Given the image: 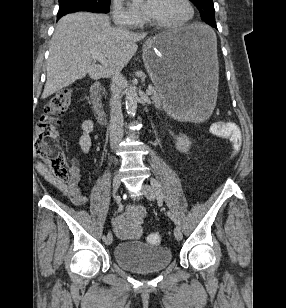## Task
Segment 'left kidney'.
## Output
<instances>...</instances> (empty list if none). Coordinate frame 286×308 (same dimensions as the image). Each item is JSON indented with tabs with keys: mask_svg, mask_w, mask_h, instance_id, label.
<instances>
[{
	"mask_svg": "<svg viewBox=\"0 0 286 308\" xmlns=\"http://www.w3.org/2000/svg\"><path fill=\"white\" fill-rule=\"evenodd\" d=\"M176 139V149L180 152L187 153L191 146L190 139L184 134H180Z\"/></svg>",
	"mask_w": 286,
	"mask_h": 308,
	"instance_id": "left-kidney-1",
	"label": "left kidney"
}]
</instances>
